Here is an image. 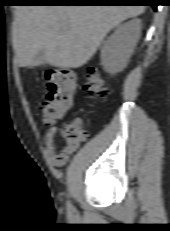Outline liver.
Returning <instances> with one entry per match:
<instances>
[{
	"label": "liver",
	"mask_w": 170,
	"mask_h": 231,
	"mask_svg": "<svg viewBox=\"0 0 170 231\" xmlns=\"http://www.w3.org/2000/svg\"><path fill=\"white\" fill-rule=\"evenodd\" d=\"M144 11L140 5L18 7L13 28L18 64L81 67L93 57L110 30ZM41 50L44 56L37 60Z\"/></svg>",
	"instance_id": "1"
}]
</instances>
